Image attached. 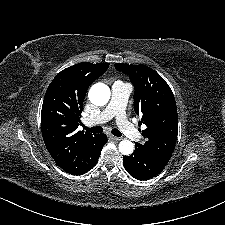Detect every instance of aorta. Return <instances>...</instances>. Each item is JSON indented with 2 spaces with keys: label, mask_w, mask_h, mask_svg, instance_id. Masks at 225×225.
<instances>
[{
  "label": "aorta",
  "mask_w": 225,
  "mask_h": 225,
  "mask_svg": "<svg viewBox=\"0 0 225 225\" xmlns=\"http://www.w3.org/2000/svg\"><path fill=\"white\" fill-rule=\"evenodd\" d=\"M110 88L104 83L94 84L88 93L89 100L96 106L105 105L110 99ZM134 144L129 140H122L119 143V151L122 155L129 156L133 153Z\"/></svg>",
  "instance_id": "1"
}]
</instances>
